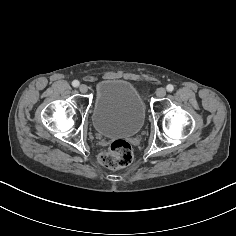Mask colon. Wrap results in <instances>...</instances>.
Returning a JSON list of instances; mask_svg holds the SVG:
<instances>
[{
	"instance_id": "1",
	"label": "colon",
	"mask_w": 236,
	"mask_h": 236,
	"mask_svg": "<svg viewBox=\"0 0 236 236\" xmlns=\"http://www.w3.org/2000/svg\"><path fill=\"white\" fill-rule=\"evenodd\" d=\"M131 146L124 140H115L109 149L99 155V162L111 169L126 167L132 161Z\"/></svg>"
}]
</instances>
